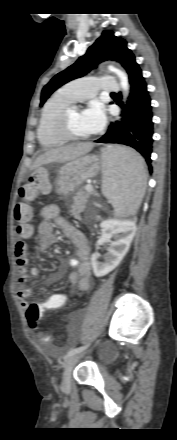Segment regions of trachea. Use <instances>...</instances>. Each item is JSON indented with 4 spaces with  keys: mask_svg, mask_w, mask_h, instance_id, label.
Masks as SVG:
<instances>
[{
    "mask_svg": "<svg viewBox=\"0 0 177 440\" xmlns=\"http://www.w3.org/2000/svg\"><path fill=\"white\" fill-rule=\"evenodd\" d=\"M111 95H115V93H111Z\"/></svg>",
    "mask_w": 177,
    "mask_h": 440,
    "instance_id": "trachea-1",
    "label": "trachea"
}]
</instances>
